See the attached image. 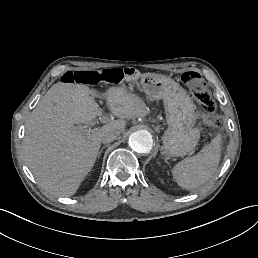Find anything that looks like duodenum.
Wrapping results in <instances>:
<instances>
[{
    "label": "duodenum",
    "instance_id": "duodenum-1",
    "mask_svg": "<svg viewBox=\"0 0 258 258\" xmlns=\"http://www.w3.org/2000/svg\"><path fill=\"white\" fill-rule=\"evenodd\" d=\"M123 74L126 75V76L131 75L132 74V70L126 68V69H124Z\"/></svg>",
    "mask_w": 258,
    "mask_h": 258
}]
</instances>
